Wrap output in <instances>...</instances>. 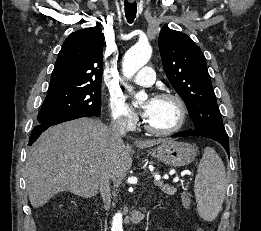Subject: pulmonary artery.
<instances>
[{
	"label": "pulmonary artery",
	"mask_w": 261,
	"mask_h": 231,
	"mask_svg": "<svg viewBox=\"0 0 261 231\" xmlns=\"http://www.w3.org/2000/svg\"><path fill=\"white\" fill-rule=\"evenodd\" d=\"M134 81L141 86L152 85L155 81V73L153 68L142 67L134 78Z\"/></svg>",
	"instance_id": "1"
}]
</instances>
